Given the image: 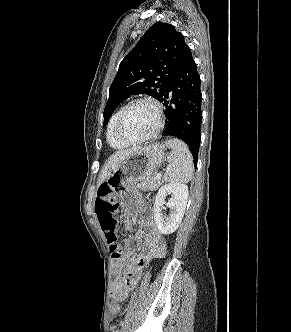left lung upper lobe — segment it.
<instances>
[{"label": "left lung upper lobe", "mask_w": 291, "mask_h": 332, "mask_svg": "<svg viewBox=\"0 0 291 332\" xmlns=\"http://www.w3.org/2000/svg\"><path fill=\"white\" fill-rule=\"evenodd\" d=\"M186 47L184 36L173 25L153 24L120 63L109 89L104 126L116 107L131 95L147 94L160 100Z\"/></svg>", "instance_id": "5c2ea615"}]
</instances>
